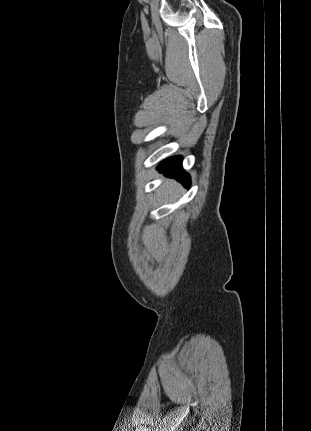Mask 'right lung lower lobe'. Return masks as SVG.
I'll return each instance as SVG.
<instances>
[{"instance_id":"1","label":"right lung lower lobe","mask_w":311,"mask_h":431,"mask_svg":"<svg viewBox=\"0 0 311 431\" xmlns=\"http://www.w3.org/2000/svg\"><path fill=\"white\" fill-rule=\"evenodd\" d=\"M182 159L179 156L171 157L169 159L164 160L160 166L159 171L164 173L169 177H173L181 182L184 186L189 188L190 186V177L188 174L184 172L181 165Z\"/></svg>"}]
</instances>
